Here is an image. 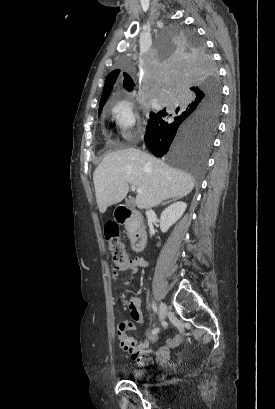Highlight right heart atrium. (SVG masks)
Here are the masks:
<instances>
[{
  "label": "right heart atrium",
  "mask_w": 275,
  "mask_h": 409,
  "mask_svg": "<svg viewBox=\"0 0 275 409\" xmlns=\"http://www.w3.org/2000/svg\"><path fill=\"white\" fill-rule=\"evenodd\" d=\"M114 118L120 133L118 143H137L140 135V116L135 104L123 101L114 109Z\"/></svg>",
  "instance_id": "d8ad5b80"
}]
</instances>
